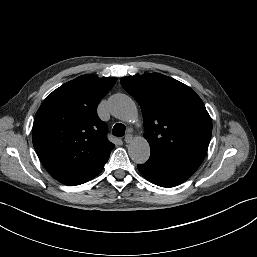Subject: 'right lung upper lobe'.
Returning a JSON list of instances; mask_svg holds the SVG:
<instances>
[{"label": "right lung upper lobe", "instance_id": "cb5924a9", "mask_svg": "<svg viewBox=\"0 0 257 257\" xmlns=\"http://www.w3.org/2000/svg\"><path fill=\"white\" fill-rule=\"evenodd\" d=\"M116 80L80 76L54 90L38 109L33 145L43 166L61 183H79L107 162L114 144L107 139L97 105Z\"/></svg>", "mask_w": 257, "mask_h": 257}]
</instances>
